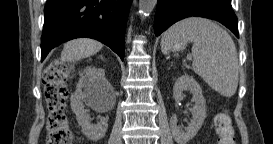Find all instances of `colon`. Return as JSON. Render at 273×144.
<instances>
[{"instance_id":"1","label":"colon","mask_w":273,"mask_h":144,"mask_svg":"<svg viewBox=\"0 0 273 144\" xmlns=\"http://www.w3.org/2000/svg\"><path fill=\"white\" fill-rule=\"evenodd\" d=\"M68 69L61 63L51 64L43 74L45 97L49 108L47 144H71L73 133L68 126L65 105L68 97ZM214 125L218 144H234V128L227 111L219 112Z\"/></svg>"}]
</instances>
